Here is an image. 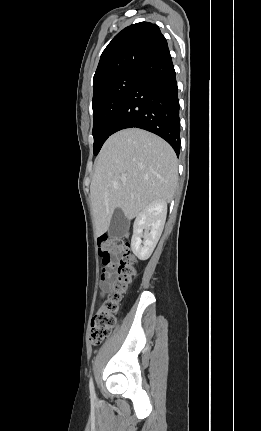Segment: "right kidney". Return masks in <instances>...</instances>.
Masks as SVG:
<instances>
[{
    "label": "right kidney",
    "mask_w": 261,
    "mask_h": 431,
    "mask_svg": "<svg viewBox=\"0 0 261 431\" xmlns=\"http://www.w3.org/2000/svg\"><path fill=\"white\" fill-rule=\"evenodd\" d=\"M166 215L167 203L158 200L148 204L137 216L133 226L131 248L140 260H146L151 256L162 234Z\"/></svg>",
    "instance_id": "ca27d5eb"
}]
</instances>
